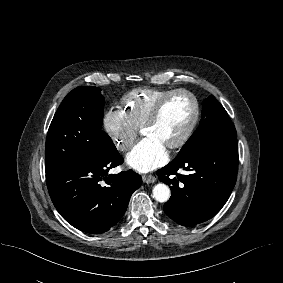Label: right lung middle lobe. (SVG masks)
<instances>
[{
	"mask_svg": "<svg viewBox=\"0 0 283 283\" xmlns=\"http://www.w3.org/2000/svg\"><path fill=\"white\" fill-rule=\"evenodd\" d=\"M104 98L97 87H78L66 95L50 124L46 140V174L113 147L101 130Z\"/></svg>",
	"mask_w": 283,
	"mask_h": 283,
	"instance_id": "right-lung-middle-lobe-1",
	"label": "right lung middle lobe"
}]
</instances>
